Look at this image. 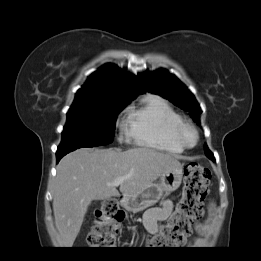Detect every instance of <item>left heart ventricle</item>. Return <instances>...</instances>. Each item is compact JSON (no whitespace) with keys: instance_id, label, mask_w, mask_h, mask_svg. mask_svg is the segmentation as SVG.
Masks as SVG:
<instances>
[{"instance_id":"left-heart-ventricle-1","label":"left heart ventricle","mask_w":261,"mask_h":261,"mask_svg":"<svg viewBox=\"0 0 261 261\" xmlns=\"http://www.w3.org/2000/svg\"><path fill=\"white\" fill-rule=\"evenodd\" d=\"M189 139H190V141H192V136L191 135H189Z\"/></svg>"}]
</instances>
